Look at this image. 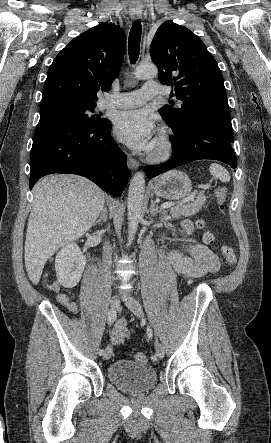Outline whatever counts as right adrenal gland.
<instances>
[{"label":"right adrenal gland","instance_id":"2a0ac1e0","mask_svg":"<svg viewBox=\"0 0 271 443\" xmlns=\"http://www.w3.org/2000/svg\"><path fill=\"white\" fill-rule=\"evenodd\" d=\"M107 220V206H104L98 220H96V222L93 223V225H97V223L100 222H106Z\"/></svg>","mask_w":271,"mask_h":443}]
</instances>
